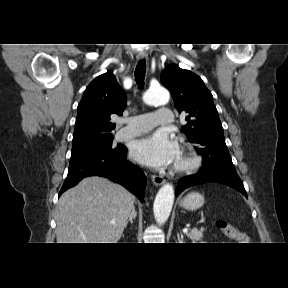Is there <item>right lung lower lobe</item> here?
<instances>
[{
    "label": "right lung lower lobe",
    "mask_w": 288,
    "mask_h": 288,
    "mask_svg": "<svg viewBox=\"0 0 288 288\" xmlns=\"http://www.w3.org/2000/svg\"><path fill=\"white\" fill-rule=\"evenodd\" d=\"M126 154L127 148L122 147L115 153L98 154L70 162L59 196L85 177L101 176L121 184L143 201L146 177L140 168L126 161Z\"/></svg>",
    "instance_id": "1"
}]
</instances>
